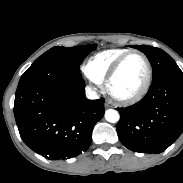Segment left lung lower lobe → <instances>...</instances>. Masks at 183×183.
I'll return each mask as SVG.
<instances>
[{"instance_id": "left-lung-lower-lobe-1", "label": "left lung lower lobe", "mask_w": 183, "mask_h": 183, "mask_svg": "<svg viewBox=\"0 0 183 183\" xmlns=\"http://www.w3.org/2000/svg\"><path fill=\"white\" fill-rule=\"evenodd\" d=\"M121 143L131 151L161 153L183 132V73L171 72L152 81L143 99L117 108Z\"/></svg>"}]
</instances>
